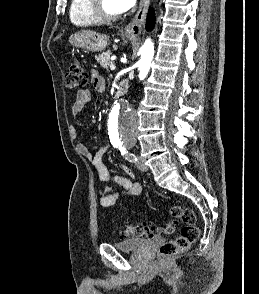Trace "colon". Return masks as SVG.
<instances>
[{
	"label": "colon",
	"mask_w": 259,
	"mask_h": 294,
	"mask_svg": "<svg viewBox=\"0 0 259 294\" xmlns=\"http://www.w3.org/2000/svg\"><path fill=\"white\" fill-rule=\"evenodd\" d=\"M87 82L88 74L85 71L83 64L78 60L72 61L65 75V86L70 89L81 88L84 87ZM171 215L177 221H181L184 226L178 237L173 240L166 241L160 246L158 253L162 257L174 256L185 252L199 237V228L196 225V216L191 208L175 205L171 208ZM177 221L168 222L162 227L154 225L126 224L121 229V233L124 236L135 237H151L162 233L171 234L175 232L178 227Z\"/></svg>",
	"instance_id": "obj_1"
}]
</instances>
